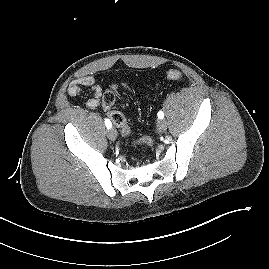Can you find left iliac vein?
<instances>
[{
	"label": "left iliac vein",
	"instance_id": "4c4485c4",
	"mask_svg": "<svg viewBox=\"0 0 269 269\" xmlns=\"http://www.w3.org/2000/svg\"><path fill=\"white\" fill-rule=\"evenodd\" d=\"M157 128L160 132H164L167 129V121L164 119L158 120Z\"/></svg>",
	"mask_w": 269,
	"mask_h": 269
}]
</instances>
